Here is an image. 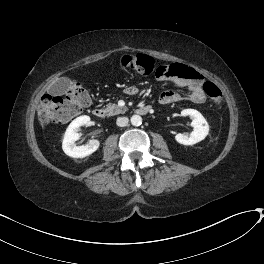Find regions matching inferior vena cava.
I'll list each match as a JSON object with an SVG mask.
<instances>
[{
    "instance_id": "inferior-vena-cava-1",
    "label": "inferior vena cava",
    "mask_w": 264,
    "mask_h": 264,
    "mask_svg": "<svg viewBox=\"0 0 264 264\" xmlns=\"http://www.w3.org/2000/svg\"><path fill=\"white\" fill-rule=\"evenodd\" d=\"M129 119L127 117H118L116 124L120 127L127 126Z\"/></svg>"
}]
</instances>
